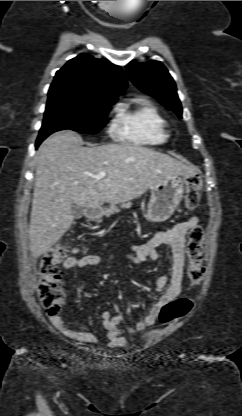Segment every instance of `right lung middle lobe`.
I'll list each match as a JSON object with an SVG mask.
<instances>
[{
    "instance_id": "obj_1",
    "label": "right lung middle lobe",
    "mask_w": 242,
    "mask_h": 416,
    "mask_svg": "<svg viewBox=\"0 0 242 416\" xmlns=\"http://www.w3.org/2000/svg\"><path fill=\"white\" fill-rule=\"evenodd\" d=\"M115 101L48 98L38 139L51 133L71 129L94 134L107 123V114Z\"/></svg>"
}]
</instances>
